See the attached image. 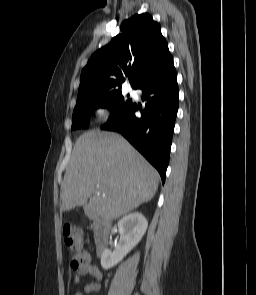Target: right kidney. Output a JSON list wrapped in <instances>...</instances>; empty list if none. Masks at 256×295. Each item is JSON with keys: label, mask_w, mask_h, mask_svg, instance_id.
Masks as SVG:
<instances>
[{"label": "right kidney", "mask_w": 256, "mask_h": 295, "mask_svg": "<svg viewBox=\"0 0 256 295\" xmlns=\"http://www.w3.org/2000/svg\"><path fill=\"white\" fill-rule=\"evenodd\" d=\"M148 227L146 218L139 212L130 213L118 222L120 240L114 251L105 249L101 266L108 270L117 265L142 239Z\"/></svg>", "instance_id": "1"}]
</instances>
